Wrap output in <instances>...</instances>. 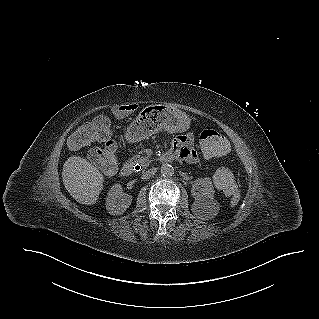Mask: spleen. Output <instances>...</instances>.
<instances>
[{
	"label": "spleen",
	"instance_id": "spleen-1",
	"mask_svg": "<svg viewBox=\"0 0 319 319\" xmlns=\"http://www.w3.org/2000/svg\"><path fill=\"white\" fill-rule=\"evenodd\" d=\"M240 200V193L239 191L235 192L233 197L231 198V201H230V207L233 208L237 205V203L239 202Z\"/></svg>",
	"mask_w": 319,
	"mask_h": 319
}]
</instances>
